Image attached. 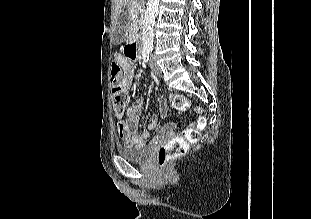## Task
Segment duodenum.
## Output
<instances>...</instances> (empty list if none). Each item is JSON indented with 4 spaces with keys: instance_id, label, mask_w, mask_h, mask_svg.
<instances>
[{
    "instance_id": "obj_1",
    "label": "duodenum",
    "mask_w": 311,
    "mask_h": 219,
    "mask_svg": "<svg viewBox=\"0 0 311 219\" xmlns=\"http://www.w3.org/2000/svg\"><path fill=\"white\" fill-rule=\"evenodd\" d=\"M128 47L129 48H134V49L140 51V49H141V42H140L139 37L137 36V33H133L131 35V39H130Z\"/></svg>"
}]
</instances>
